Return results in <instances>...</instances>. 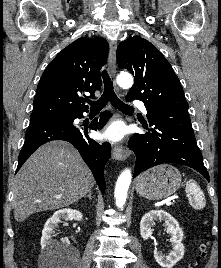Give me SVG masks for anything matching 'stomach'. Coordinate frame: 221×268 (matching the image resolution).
I'll list each match as a JSON object with an SVG mask.
<instances>
[{
	"mask_svg": "<svg viewBox=\"0 0 221 268\" xmlns=\"http://www.w3.org/2000/svg\"><path fill=\"white\" fill-rule=\"evenodd\" d=\"M180 184L179 170L170 164H163L144 172L137 180L136 191L147 199L159 200L175 193Z\"/></svg>",
	"mask_w": 221,
	"mask_h": 268,
	"instance_id": "obj_1",
	"label": "stomach"
}]
</instances>
